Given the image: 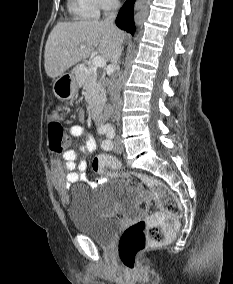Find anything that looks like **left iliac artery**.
I'll list each match as a JSON object with an SVG mask.
<instances>
[{
    "label": "left iliac artery",
    "mask_w": 233,
    "mask_h": 284,
    "mask_svg": "<svg viewBox=\"0 0 233 284\" xmlns=\"http://www.w3.org/2000/svg\"><path fill=\"white\" fill-rule=\"evenodd\" d=\"M105 133H106L107 139H105L102 142V147L105 150H111L113 148L112 139L115 136V132H114V130H107Z\"/></svg>",
    "instance_id": "left-iliac-artery-1"
}]
</instances>
